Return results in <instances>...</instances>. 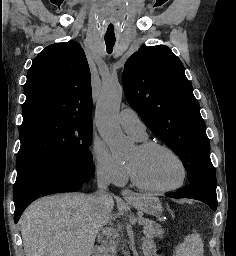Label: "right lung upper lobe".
Here are the masks:
<instances>
[{
	"label": "right lung upper lobe",
	"mask_w": 236,
	"mask_h": 256,
	"mask_svg": "<svg viewBox=\"0 0 236 256\" xmlns=\"http://www.w3.org/2000/svg\"><path fill=\"white\" fill-rule=\"evenodd\" d=\"M24 92L23 120L48 115L92 121L90 70L74 41L52 44L36 56Z\"/></svg>",
	"instance_id": "obj_1"
}]
</instances>
